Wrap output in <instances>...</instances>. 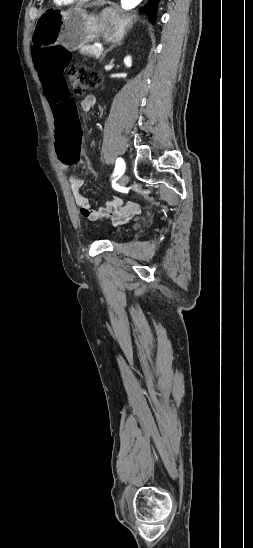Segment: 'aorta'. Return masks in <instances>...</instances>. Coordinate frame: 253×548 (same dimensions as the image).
Returning a JSON list of instances; mask_svg holds the SVG:
<instances>
[{"label": "aorta", "mask_w": 253, "mask_h": 548, "mask_svg": "<svg viewBox=\"0 0 253 548\" xmlns=\"http://www.w3.org/2000/svg\"><path fill=\"white\" fill-rule=\"evenodd\" d=\"M142 0H121V7L125 10H130L138 6Z\"/></svg>", "instance_id": "obj_1"}]
</instances>
